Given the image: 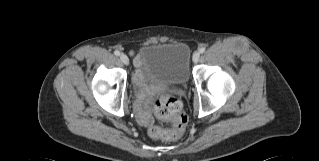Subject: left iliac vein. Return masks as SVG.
<instances>
[{
  "mask_svg": "<svg viewBox=\"0 0 319 161\" xmlns=\"http://www.w3.org/2000/svg\"><path fill=\"white\" fill-rule=\"evenodd\" d=\"M199 57H200L199 52H195V53L193 54V61H194V62H197V61L199 60Z\"/></svg>",
  "mask_w": 319,
  "mask_h": 161,
  "instance_id": "obj_1",
  "label": "left iliac vein"
}]
</instances>
